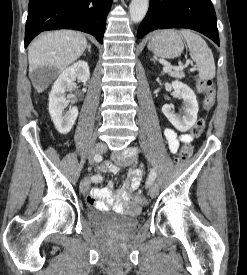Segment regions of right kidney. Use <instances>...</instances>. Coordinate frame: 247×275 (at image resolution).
Here are the masks:
<instances>
[{"mask_svg":"<svg viewBox=\"0 0 247 275\" xmlns=\"http://www.w3.org/2000/svg\"><path fill=\"white\" fill-rule=\"evenodd\" d=\"M89 77L88 64L85 61H78L62 71L54 82L49 94V113L56 129L61 134L70 132L79 114L76 106L70 107L69 111L66 114L64 113L66 105L65 92L72 90L75 79L85 83Z\"/></svg>","mask_w":247,"mask_h":275,"instance_id":"right-kidney-1","label":"right kidney"}]
</instances>
